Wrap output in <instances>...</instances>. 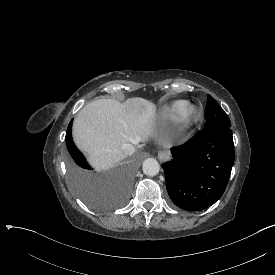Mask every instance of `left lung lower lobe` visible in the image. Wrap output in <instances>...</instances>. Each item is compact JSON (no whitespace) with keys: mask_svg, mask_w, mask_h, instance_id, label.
I'll use <instances>...</instances> for the list:
<instances>
[{"mask_svg":"<svg viewBox=\"0 0 275 275\" xmlns=\"http://www.w3.org/2000/svg\"><path fill=\"white\" fill-rule=\"evenodd\" d=\"M171 153L173 159L162 167L172 202L186 211L213 205L225 191L234 163L230 126L206 127Z\"/></svg>","mask_w":275,"mask_h":275,"instance_id":"obj_1","label":"left lung lower lobe"}]
</instances>
